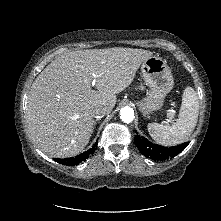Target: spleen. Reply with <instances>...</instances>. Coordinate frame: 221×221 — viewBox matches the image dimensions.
Wrapping results in <instances>:
<instances>
[{
    "label": "spleen",
    "instance_id": "obj_1",
    "mask_svg": "<svg viewBox=\"0 0 221 221\" xmlns=\"http://www.w3.org/2000/svg\"><path fill=\"white\" fill-rule=\"evenodd\" d=\"M199 113V101L195 90L186 87L182 96L179 118L172 125L149 123L147 125L150 136L159 144L177 145L184 142L192 134Z\"/></svg>",
    "mask_w": 221,
    "mask_h": 221
}]
</instances>
